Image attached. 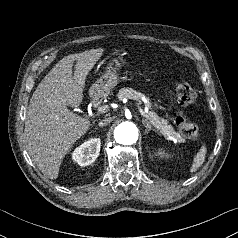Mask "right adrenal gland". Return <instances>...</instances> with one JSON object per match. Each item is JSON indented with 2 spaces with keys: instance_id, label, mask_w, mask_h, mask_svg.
<instances>
[{
  "instance_id": "right-adrenal-gland-1",
  "label": "right adrenal gland",
  "mask_w": 238,
  "mask_h": 238,
  "mask_svg": "<svg viewBox=\"0 0 238 238\" xmlns=\"http://www.w3.org/2000/svg\"><path fill=\"white\" fill-rule=\"evenodd\" d=\"M94 129H95V130H98V127H95Z\"/></svg>"
}]
</instances>
